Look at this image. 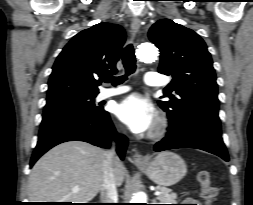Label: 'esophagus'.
I'll return each mask as SVG.
<instances>
[{
    "instance_id": "esophagus-1",
    "label": "esophagus",
    "mask_w": 253,
    "mask_h": 205,
    "mask_svg": "<svg viewBox=\"0 0 253 205\" xmlns=\"http://www.w3.org/2000/svg\"><path fill=\"white\" fill-rule=\"evenodd\" d=\"M139 29H140V20H139V18L138 17H133L132 21H131V30H132L133 36H135L139 32ZM132 161L136 165H139V164L145 163L147 160L141 154L136 152L132 155Z\"/></svg>"
}]
</instances>
